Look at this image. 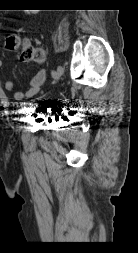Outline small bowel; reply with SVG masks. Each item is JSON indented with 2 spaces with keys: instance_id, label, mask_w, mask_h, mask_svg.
Listing matches in <instances>:
<instances>
[{
  "instance_id": "small-bowel-1",
  "label": "small bowel",
  "mask_w": 138,
  "mask_h": 253,
  "mask_svg": "<svg viewBox=\"0 0 138 253\" xmlns=\"http://www.w3.org/2000/svg\"><path fill=\"white\" fill-rule=\"evenodd\" d=\"M27 46H29V43L24 42L23 47H27ZM1 66H2V60L0 58V67ZM46 78H47L46 70L41 69L32 77V79L29 82V88L25 93L22 91H15L14 90V83L10 80H8L4 83V89L7 92H12L13 98L16 101H21L23 99H29V98H32L33 96H35L39 92V90H40L41 86L43 85V83L45 82Z\"/></svg>"
}]
</instances>
